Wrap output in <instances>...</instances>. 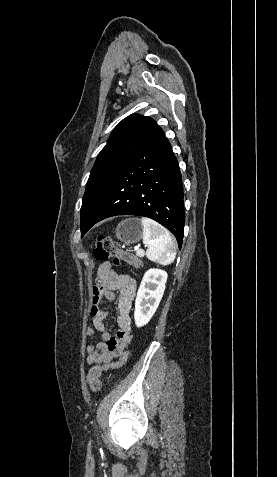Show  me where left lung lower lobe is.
Wrapping results in <instances>:
<instances>
[{
	"mask_svg": "<svg viewBox=\"0 0 277 477\" xmlns=\"http://www.w3.org/2000/svg\"><path fill=\"white\" fill-rule=\"evenodd\" d=\"M183 185L177 158L163 131L142 146L114 175L81 235L116 215L151 218L166 227L181 248Z\"/></svg>",
	"mask_w": 277,
	"mask_h": 477,
	"instance_id": "1",
	"label": "left lung lower lobe"
}]
</instances>
